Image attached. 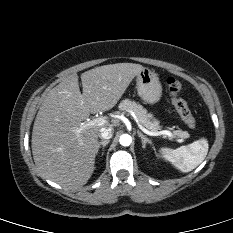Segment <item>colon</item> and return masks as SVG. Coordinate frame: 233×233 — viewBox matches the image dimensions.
<instances>
[{
    "label": "colon",
    "instance_id": "colon-1",
    "mask_svg": "<svg viewBox=\"0 0 233 233\" xmlns=\"http://www.w3.org/2000/svg\"><path fill=\"white\" fill-rule=\"evenodd\" d=\"M165 83L175 110L187 126L194 127L196 124V119L189 109L186 101L180 97L182 84L174 77H168Z\"/></svg>",
    "mask_w": 233,
    "mask_h": 233
}]
</instances>
